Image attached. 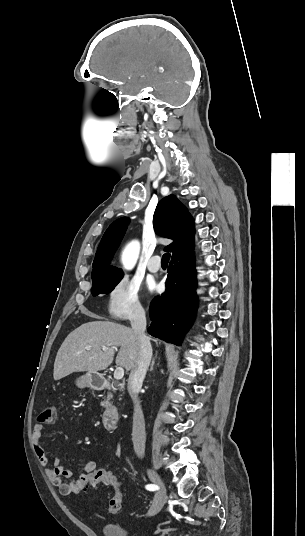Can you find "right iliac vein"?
<instances>
[{
	"label": "right iliac vein",
	"mask_w": 305,
	"mask_h": 536,
	"mask_svg": "<svg viewBox=\"0 0 305 536\" xmlns=\"http://www.w3.org/2000/svg\"><path fill=\"white\" fill-rule=\"evenodd\" d=\"M147 473L153 482H157L161 486V489L156 493L154 503L148 513V516H154L160 512L165 504L166 484L155 471L148 469Z\"/></svg>",
	"instance_id": "right-iliac-vein-1"
}]
</instances>
